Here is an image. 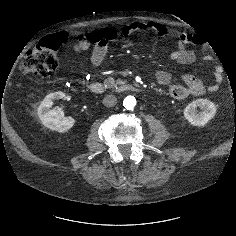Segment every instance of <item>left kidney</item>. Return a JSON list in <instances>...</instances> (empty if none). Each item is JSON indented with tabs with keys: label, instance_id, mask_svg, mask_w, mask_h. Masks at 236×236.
<instances>
[{
	"label": "left kidney",
	"instance_id": "obj_1",
	"mask_svg": "<svg viewBox=\"0 0 236 236\" xmlns=\"http://www.w3.org/2000/svg\"><path fill=\"white\" fill-rule=\"evenodd\" d=\"M197 107L202 111L197 112ZM216 105L207 99H196L189 103L184 109L185 119L193 126H204L216 114Z\"/></svg>",
	"mask_w": 236,
	"mask_h": 236
}]
</instances>
